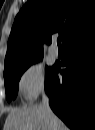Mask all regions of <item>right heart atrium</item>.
<instances>
[{
  "label": "right heart atrium",
  "instance_id": "obj_1",
  "mask_svg": "<svg viewBox=\"0 0 95 130\" xmlns=\"http://www.w3.org/2000/svg\"><path fill=\"white\" fill-rule=\"evenodd\" d=\"M46 88L44 71L41 65L30 64L22 72L19 78V89L26 100H34L41 95Z\"/></svg>",
  "mask_w": 95,
  "mask_h": 130
}]
</instances>
